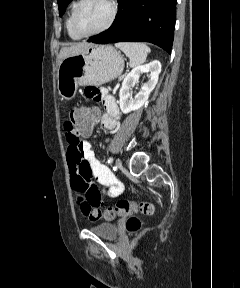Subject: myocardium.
Masks as SVG:
<instances>
[{"mask_svg":"<svg viewBox=\"0 0 240 288\" xmlns=\"http://www.w3.org/2000/svg\"><path fill=\"white\" fill-rule=\"evenodd\" d=\"M109 5H110V14H109V17L106 21V23L100 27L99 29L95 30V31H92V32H89V33H82L80 32L78 29H77V26H76V17H77V14L81 8V6L86 2V0H78L74 10H73V13H72V16H71V27H72V30L78 35L80 36L81 38L83 37H90V36H94V35H97V34H100L106 30H108L115 18H116V14H117V4L115 2V0H107Z\"/></svg>","mask_w":240,"mask_h":288,"instance_id":"obj_1","label":"myocardium"}]
</instances>
